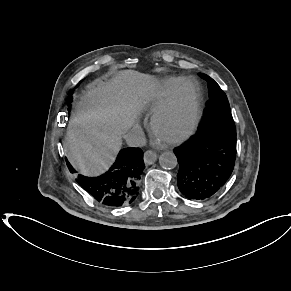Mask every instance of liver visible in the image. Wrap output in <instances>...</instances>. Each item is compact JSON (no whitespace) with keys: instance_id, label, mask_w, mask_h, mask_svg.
Masks as SVG:
<instances>
[{"instance_id":"6515ba94","label":"liver","mask_w":291,"mask_h":291,"mask_svg":"<svg viewBox=\"0 0 291 291\" xmlns=\"http://www.w3.org/2000/svg\"><path fill=\"white\" fill-rule=\"evenodd\" d=\"M155 78L120 71L109 82L89 86L68 125L69 158L83 175L97 176L114 161L122 134L137 119L154 90Z\"/></svg>"}]
</instances>
